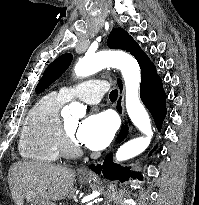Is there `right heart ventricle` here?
Segmentation results:
<instances>
[{
    "label": "right heart ventricle",
    "instance_id": "right-heart-ventricle-1",
    "mask_svg": "<svg viewBox=\"0 0 199 205\" xmlns=\"http://www.w3.org/2000/svg\"><path fill=\"white\" fill-rule=\"evenodd\" d=\"M66 102L55 92L43 96L29 111L19 141L20 155L29 161L52 164L60 158L59 110Z\"/></svg>",
    "mask_w": 199,
    "mask_h": 205
}]
</instances>
